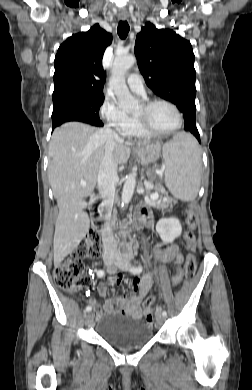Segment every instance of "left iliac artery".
Returning a JSON list of instances; mask_svg holds the SVG:
<instances>
[{
    "label": "left iliac artery",
    "instance_id": "44dca946",
    "mask_svg": "<svg viewBox=\"0 0 252 390\" xmlns=\"http://www.w3.org/2000/svg\"><path fill=\"white\" fill-rule=\"evenodd\" d=\"M131 272L134 273V274H139V273L142 272V267H141V266L132 267V268H131ZM162 315H163V316H166V315H167L166 311H163V312H162Z\"/></svg>",
    "mask_w": 252,
    "mask_h": 390
}]
</instances>
